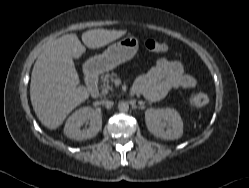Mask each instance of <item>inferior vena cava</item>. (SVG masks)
<instances>
[{"mask_svg": "<svg viewBox=\"0 0 249 188\" xmlns=\"http://www.w3.org/2000/svg\"><path fill=\"white\" fill-rule=\"evenodd\" d=\"M103 104L106 105L107 107H111L113 106V101H110V100H106V101H103Z\"/></svg>", "mask_w": 249, "mask_h": 188, "instance_id": "inferior-vena-cava-1", "label": "inferior vena cava"}]
</instances>
